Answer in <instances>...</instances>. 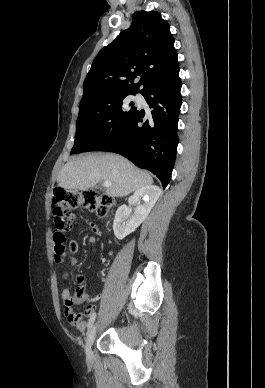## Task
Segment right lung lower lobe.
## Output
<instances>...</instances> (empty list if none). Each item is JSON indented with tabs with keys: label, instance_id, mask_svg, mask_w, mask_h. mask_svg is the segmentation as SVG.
I'll return each mask as SVG.
<instances>
[{
	"label": "right lung lower lobe",
	"instance_id": "1",
	"mask_svg": "<svg viewBox=\"0 0 265 388\" xmlns=\"http://www.w3.org/2000/svg\"><path fill=\"white\" fill-rule=\"evenodd\" d=\"M178 74L142 91L152 108L151 113L147 115L143 110H136L101 149L121 154L136 166L156 174L164 188L171 178L178 145L182 85Z\"/></svg>",
	"mask_w": 265,
	"mask_h": 388
}]
</instances>
